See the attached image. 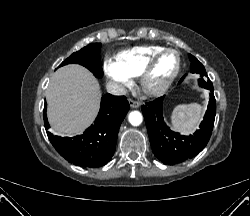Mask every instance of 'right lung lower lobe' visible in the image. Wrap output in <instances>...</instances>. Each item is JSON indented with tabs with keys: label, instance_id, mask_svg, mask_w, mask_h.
<instances>
[{
	"label": "right lung lower lobe",
	"instance_id": "right-lung-lower-lobe-1",
	"mask_svg": "<svg viewBox=\"0 0 250 216\" xmlns=\"http://www.w3.org/2000/svg\"><path fill=\"white\" fill-rule=\"evenodd\" d=\"M130 106L125 96L106 94L102 97L99 114L86 132L75 137H59L47 132L56 151L68 162L81 167H101L113 156L120 125ZM44 124L49 128L44 107Z\"/></svg>",
	"mask_w": 250,
	"mask_h": 216
}]
</instances>
